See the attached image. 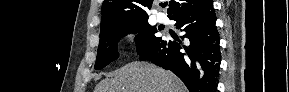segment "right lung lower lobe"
<instances>
[{"label": "right lung lower lobe", "instance_id": "98d812e1", "mask_svg": "<svg viewBox=\"0 0 289 92\" xmlns=\"http://www.w3.org/2000/svg\"><path fill=\"white\" fill-rule=\"evenodd\" d=\"M170 19L185 35L176 41L160 38L141 53L140 60L171 70L190 92H215L221 54L213 1L207 0Z\"/></svg>", "mask_w": 289, "mask_h": 92}]
</instances>
